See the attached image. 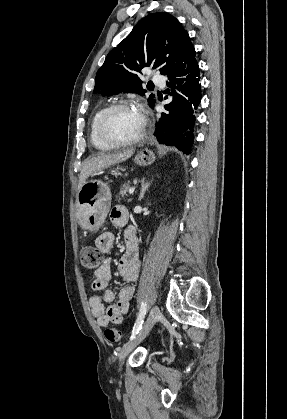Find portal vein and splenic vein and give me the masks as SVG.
Segmentation results:
<instances>
[{
	"mask_svg": "<svg viewBox=\"0 0 287 419\" xmlns=\"http://www.w3.org/2000/svg\"><path fill=\"white\" fill-rule=\"evenodd\" d=\"M134 191H135V187L130 188V189H129V194H133V193H134Z\"/></svg>",
	"mask_w": 287,
	"mask_h": 419,
	"instance_id": "portal-vein-and-splenic-vein-1",
	"label": "portal vein and splenic vein"
}]
</instances>
